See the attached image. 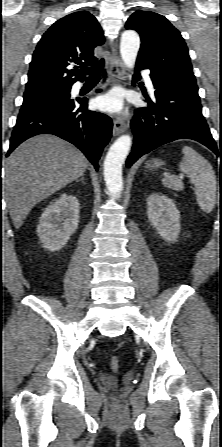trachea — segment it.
<instances>
[{"instance_id": "3493384b", "label": "trachea", "mask_w": 222, "mask_h": 447, "mask_svg": "<svg viewBox=\"0 0 222 447\" xmlns=\"http://www.w3.org/2000/svg\"><path fill=\"white\" fill-rule=\"evenodd\" d=\"M105 62L104 59H101L100 62L93 67L82 68V72L86 75H89V78L97 79L100 77V71L103 68Z\"/></svg>"}]
</instances>
